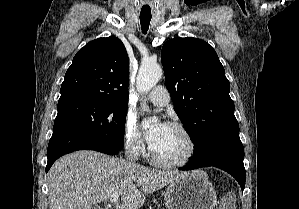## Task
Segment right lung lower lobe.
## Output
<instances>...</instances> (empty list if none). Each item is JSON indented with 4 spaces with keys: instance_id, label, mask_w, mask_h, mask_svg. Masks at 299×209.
<instances>
[{
    "instance_id": "1",
    "label": "right lung lower lobe",
    "mask_w": 299,
    "mask_h": 209,
    "mask_svg": "<svg viewBox=\"0 0 299 209\" xmlns=\"http://www.w3.org/2000/svg\"><path fill=\"white\" fill-rule=\"evenodd\" d=\"M124 141L105 135H94L70 127L53 128L47 149L46 172L62 155L77 150H95L113 155L120 151Z\"/></svg>"
}]
</instances>
